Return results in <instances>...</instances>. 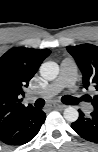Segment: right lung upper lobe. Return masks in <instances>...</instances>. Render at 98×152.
<instances>
[{"label":"right lung upper lobe","instance_id":"cb5924a9","mask_svg":"<svg viewBox=\"0 0 98 152\" xmlns=\"http://www.w3.org/2000/svg\"><path fill=\"white\" fill-rule=\"evenodd\" d=\"M50 53L48 49L15 47L0 58V132L34 108L32 105L25 107L21 97L28 82Z\"/></svg>","mask_w":98,"mask_h":152}]
</instances>
